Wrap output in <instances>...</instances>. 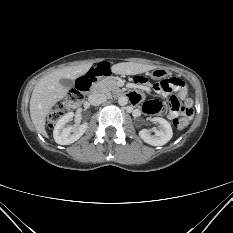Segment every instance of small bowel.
Segmentation results:
<instances>
[{"label":"small bowel","mask_w":233,"mask_h":233,"mask_svg":"<svg viewBox=\"0 0 233 233\" xmlns=\"http://www.w3.org/2000/svg\"><path fill=\"white\" fill-rule=\"evenodd\" d=\"M176 81H178V84H173L171 86V89L170 90H174L176 91L177 93V98L181 101H185L187 100V95H188V92H187V88L184 84V82L178 78H174ZM159 93H161L162 95H165L166 93H168L170 90H162V89H156ZM133 95V102H138L140 99H141V94L140 93H132ZM148 102L144 104L143 108H142V111L146 114H153L151 112V110L148 108L147 106ZM177 112L176 111H172L170 113L171 116L175 115ZM134 114L135 115H139L140 114V110L136 109L134 111Z\"/></svg>","instance_id":"obj_1"}]
</instances>
